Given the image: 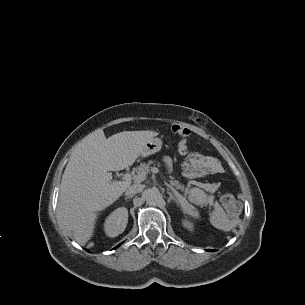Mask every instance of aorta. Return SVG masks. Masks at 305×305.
<instances>
[{"instance_id":"762f6f07","label":"aorta","mask_w":305,"mask_h":305,"mask_svg":"<svg viewBox=\"0 0 305 305\" xmlns=\"http://www.w3.org/2000/svg\"><path fill=\"white\" fill-rule=\"evenodd\" d=\"M144 197L149 205H158L162 200V194L155 188L146 190Z\"/></svg>"}]
</instances>
